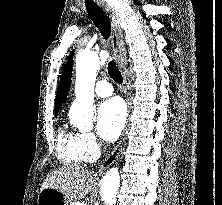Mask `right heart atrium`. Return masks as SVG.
I'll return each mask as SVG.
<instances>
[{
    "label": "right heart atrium",
    "mask_w": 222,
    "mask_h": 205,
    "mask_svg": "<svg viewBox=\"0 0 222 205\" xmlns=\"http://www.w3.org/2000/svg\"><path fill=\"white\" fill-rule=\"evenodd\" d=\"M82 148L89 160L95 159L99 155V142L93 133H81Z\"/></svg>",
    "instance_id": "1"
}]
</instances>
